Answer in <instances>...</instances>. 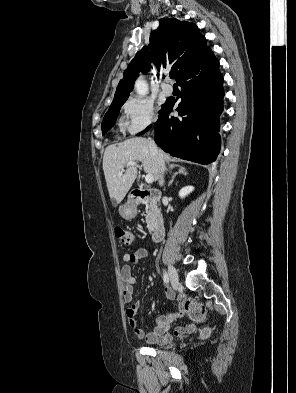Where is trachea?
Instances as JSON below:
<instances>
[{
  "instance_id": "1",
  "label": "trachea",
  "mask_w": 296,
  "mask_h": 393,
  "mask_svg": "<svg viewBox=\"0 0 296 393\" xmlns=\"http://www.w3.org/2000/svg\"><path fill=\"white\" fill-rule=\"evenodd\" d=\"M170 78H173L174 77V72H170Z\"/></svg>"
}]
</instances>
